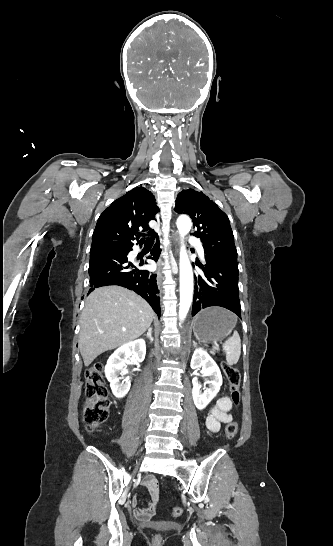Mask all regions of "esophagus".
Returning <instances> with one entry per match:
<instances>
[{"mask_svg":"<svg viewBox=\"0 0 333 546\" xmlns=\"http://www.w3.org/2000/svg\"><path fill=\"white\" fill-rule=\"evenodd\" d=\"M171 239L173 240L174 244H175V248L177 250V246H178V234L177 232H173L172 236H171ZM160 264H162V261H160ZM157 280H158V284L161 285V282H162V274H161V271L159 270L158 273H157Z\"/></svg>","mask_w":333,"mask_h":546,"instance_id":"34e87169","label":"esophagus"}]
</instances>
